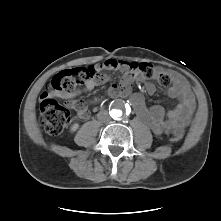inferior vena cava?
Masks as SVG:
<instances>
[{"label":"inferior vena cava","instance_id":"602c4592","mask_svg":"<svg viewBox=\"0 0 221 221\" xmlns=\"http://www.w3.org/2000/svg\"><path fill=\"white\" fill-rule=\"evenodd\" d=\"M97 118L103 123H107L111 120L110 116L106 111L99 112Z\"/></svg>","mask_w":221,"mask_h":221}]
</instances>
